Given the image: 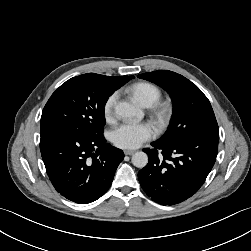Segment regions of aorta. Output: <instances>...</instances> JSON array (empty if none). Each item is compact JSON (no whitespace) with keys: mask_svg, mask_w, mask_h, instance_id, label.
<instances>
[{"mask_svg":"<svg viewBox=\"0 0 251 251\" xmlns=\"http://www.w3.org/2000/svg\"><path fill=\"white\" fill-rule=\"evenodd\" d=\"M115 113L122 118H134L140 115L139 109L128 102H119L115 106ZM132 164L137 168H144L148 163V156L145 152L139 151L132 155Z\"/></svg>","mask_w":251,"mask_h":251,"instance_id":"1","label":"aorta"}]
</instances>
